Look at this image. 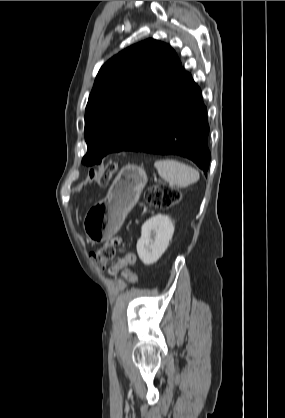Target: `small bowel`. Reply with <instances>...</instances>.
Here are the masks:
<instances>
[{"mask_svg": "<svg viewBox=\"0 0 285 418\" xmlns=\"http://www.w3.org/2000/svg\"><path fill=\"white\" fill-rule=\"evenodd\" d=\"M118 242H119V239H118V238H116V239L114 240V243H118ZM128 261H130V258H129V257H126V258L120 259L117 263H115L114 265H112V266L110 267L109 271H110L112 274H116V273L120 272V271H121V269H122V268H120V265H121L123 262H128ZM134 262H135V256H134V258H133V263H134ZM127 276L129 277V279H130L131 281H135V279H136L135 275H134V274H132V273H127Z\"/></svg>", "mask_w": 285, "mask_h": 418, "instance_id": "1", "label": "small bowel"}]
</instances>
